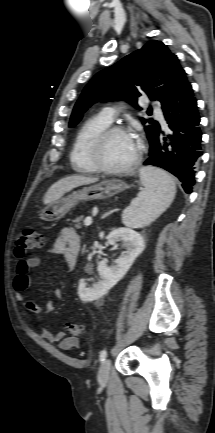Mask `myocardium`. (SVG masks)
<instances>
[{"label":"myocardium","instance_id":"f54148a6","mask_svg":"<svg viewBox=\"0 0 215 433\" xmlns=\"http://www.w3.org/2000/svg\"><path fill=\"white\" fill-rule=\"evenodd\" d=\"M115 133H124V134H130L131 135V131L124 127V126H120V125H110L107 128H105L103 131H101L92 141L91 145H90V150H89V156H90V161L93 165V167L100 172L106 173V174H113V175H121V174H125L128 173L130 171H132L133 169H135L138 164L141 161L142 158V153H143V143L140 140H137V151L136 154L133 158V160L123 166V167H119V168H111L106 166L102 159H101V152L103 149V146L106 142V140L113 134Z\"/></svg>","mask_w":215,"mask_h":433}]
</instances>
